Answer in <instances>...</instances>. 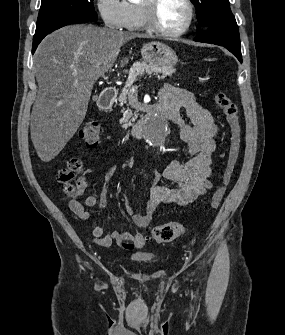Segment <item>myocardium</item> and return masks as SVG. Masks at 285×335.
I'll return each mask as SVG.
<instances>
[{"label": "myocardium", "mask_w": 285, "mask_h": 335, "mask_svg": "<svg viewBox=\"0 0 285 335\" xmlns=\"http://www.w3.org/2000/svg\"><path fill=\"white\" fill-rule=\"evenodd\" d=\"M161 1H144V19L146 28L159 36L163 37H178L186 33L191 27L193 21V7L190 1H179L188 10V17L185 24L177 30H167L162 27L158 21V8Z\"/></svg>", "instance_id": "obj_1"}]
</instances>
